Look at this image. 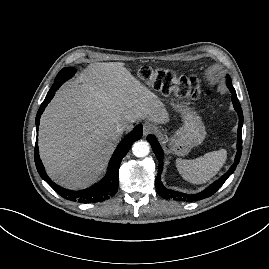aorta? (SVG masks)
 I'll list each match as a JSON object with an SVG mask.
<instances>
[{
    "label": "aorta",
    "mask_w": 269,
    "mask_h": 269,
    "mask_svg": "<svg viewBox=\"0 0 269 269\" xmlns=\"http://www.w3.org/2000/svg\"><path fill=\"white\" fill-rule=\"evenodd\" d=\"M132 152L136 157H145L150 152V145L146 141H137L133 144Z\"/></svg>",
    "instance_id": "762f6f07"
}]
</instances>
